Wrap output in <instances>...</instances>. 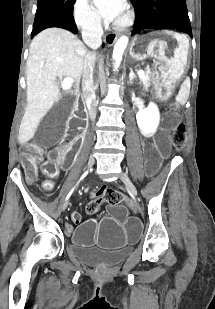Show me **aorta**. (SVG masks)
<instances>
[{
    "label": "aorta",
    "mask_w": 215,
    "mask_h": 309,
    "mask_svg": "<svg viewBox=\"0 0 215 309\" xmlns=\"http://www.w3.org/2000/svg\"><path fill=\"white\" fill-rule=\"evenodd\" d=\"M129 42L128 36H125V34H122V36H119L118 40H116L113 48V54L112 58L114 60L113 62V70H118L120 66V62L122 60L123 52Z\"/></svg>",
    "instance_id": "aorta-1"
}]
</instances>
